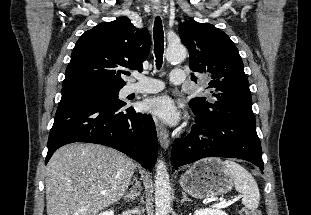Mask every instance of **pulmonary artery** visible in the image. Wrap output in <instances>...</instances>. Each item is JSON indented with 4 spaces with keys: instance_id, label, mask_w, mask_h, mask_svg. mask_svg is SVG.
I'll use <instances>...</instances> for the list:
<instances>
[{
    "instance_id": "e3ab8cb5",
    "label": "pulmonary artery",
    "mask_w": 311,
    "mask_h": 215,
    "mask_svg": "<svg viewBox=\"0 0 311 215\" xmlns=\"http://www.w3.org/2000/svg\"><path fill=\"white\" fill-rule=\"evenodd\" d=\"M140 79V83L131 85L128 88L129 93H156L162 90L163 83L159 80L145 77V76H138ZM186 80V73L181 68H175L171 71L170 74V81L173 84H181Z\"/></svg>"
}]
</instances>
